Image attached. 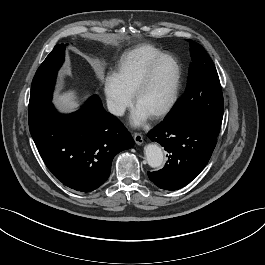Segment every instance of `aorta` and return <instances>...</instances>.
<instances>
[{
    "mask_svg": "<svg viewBox=\"0 0 265 265\" xmlns=\"http://www.w3.org/2000/svg\"><path fill=\"white\" fill-rule=\"evenodd\" d=\"M147 163L152 168H159L163 164V151L156 144H148L144 149Z\"/></svg>",
    "mask_w": 265,
    "mask_h": 265,
    "instance_id": "762f6f07",
    "label": "aorta"
}]
</instances>
